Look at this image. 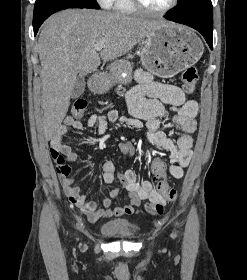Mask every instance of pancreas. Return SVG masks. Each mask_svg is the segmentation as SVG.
<instances>
[{"instance_id": "cf45deb5", "label": "pancreas", "mask_w": 247, "mask_h": 280, "mask_svg": "<svg viewBox=\"0 0 247 280\" xmlns=\"http://www.w3.org/2000/svg\"><path fill=\"white\" fill-rule=\"evenodd\" d=\"M128 58H133V56H132V55H129Z\"/></svg>"}]
</instances>
